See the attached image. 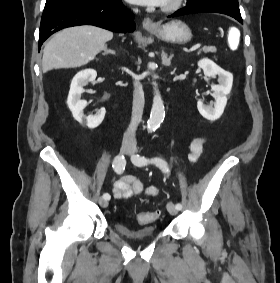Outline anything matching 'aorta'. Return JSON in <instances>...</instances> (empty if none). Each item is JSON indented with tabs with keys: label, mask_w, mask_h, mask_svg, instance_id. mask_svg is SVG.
<instances>
[{
	"label": "aorta",
	"mask_w": 280,
	"mask_h": 283,
	"mask_svg": "<svg viewBox=\"0 0 280 283\" xmlns=\"http://www.w3.org/2000/svg\"><path fill=\"white\" fill-rule=\"evenodd\" d=\"M151 66L152 65L149 64V68H151ZM153 87H154V98H153L150 118L147 123L149 132L155 131L163 122L165 117L163 100L161 98L156 82H153Z\"/></svg>",
	"instance_id": "aorta-1"
}]
</instances>
